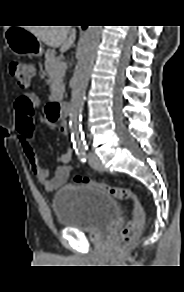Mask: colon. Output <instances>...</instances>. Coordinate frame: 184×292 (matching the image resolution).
Segmentation results:
<instances>
[{
  "mask_svg": "<svg viewBox=\"0 0 184 292\" xmlns=\"http://www.w3.org/2000/svg\"><path fill=\"white\" fill-rule=\"evenodd\" d=\"M9 71L16 80V84L21 89L29 87L32 78L35 75L36 68L34 64L21 59H13L9 64ZM37 111V99L30 94H22L15 101V113L17 124L23 131H29L34 128V119ZM77 183L91 184L106 191L112 196L133 201L132 219L121 230L119 242L122 245L133 243L141 233L145 223V211L141 204L139 196L127 187H114L105 183L91 182L87 178L76 177Z\"/></svg>",
  "mask_w": 184,
  "mask_h": 292,
  "instance_id": "colon-1",
  "label": "colon"
}]
</instances>
